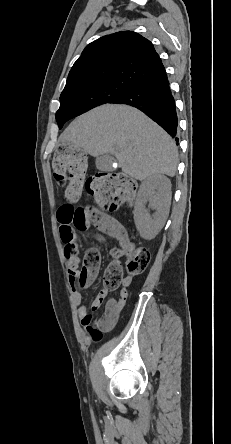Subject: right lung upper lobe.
I'll return each mask as SVG.
<instances>
[{
  "label": "right lung upper lobe",
  "mask_w": 231,
  "mask_h": 444,
  "mask_svg": "<svg viewBox=\"0 0 231 444\" xmlns=\"http://www.w3.org/2000/svg\"><path fill=\"white\" fill-rule=\"evenodd\" d=\"M165 72L153 44L132 31L103 36L86 46L69 72L63 91L106 83L134 86Z\"/></svg>",
  "instance_id": "right-lung-upper-lobe-1"
}]
</instances>
